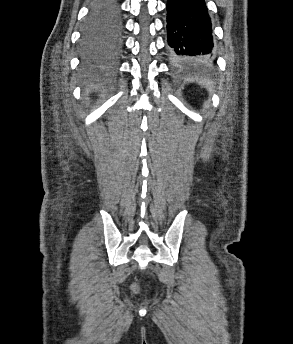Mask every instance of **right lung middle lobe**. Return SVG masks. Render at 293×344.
I'll return each instance as SVG.
<instances>
[{"mask_svg":"<svg viewBox=\"0 0 293 344\" xmlns=\"http://www.w3.org/2000/svg\"><path fill=\"white\" fill-rule=\"evenodd\" d=\"M119 27L117 0H96L83 28L82 46L92 51L115 45L114 36Z\"/></svg>","mask_w":293,"mask_h":344,"instance_id":"obj_1","label":"right lung middle lobe"}]
</instances>
